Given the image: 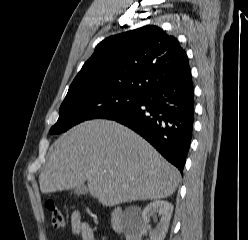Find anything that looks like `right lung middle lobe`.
<instances>
[{"instance_id":"obj_1","label":"right lung middle lobe","mask_w":248,"mask_h":240,"mask_svg":"<svg viewBox=\"0 0 248 240\" xmlns=\"http://www.w3.org/2000/svg\"><path fill=\"white\" fill-rule=\"evenodd\" d=\"M143 96L110 88L69 90L50 133L64 132L85 120L106 118L137 104Z\"/></svg>"}]
</instances>
